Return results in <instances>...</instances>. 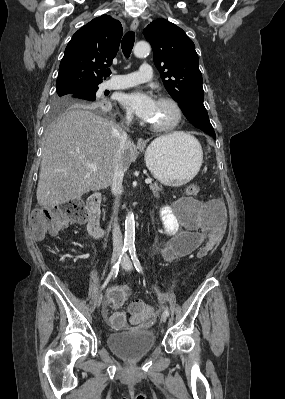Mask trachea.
Here are the masks:
<instances>
[{
	"label": "trachea",
	"mask_w": 285,
	"mask_h": 399,
	"mask_svg": "<svg viewBox=\"0 0 285 399\" xmlns=\"http://www.w3.org/2000/svg\"><path fill=\"white\" fill-rule=\"evenodd\" d=\"M134 42H135V33L133 31L127 32L122 39V45H121L122 51L126 58H129L131 51L133 49ZM104 74L106 76H109L111 74L110 69L105 70Z\"/></svg>",
	"instance_id": "3493384b"
}]
</instances>
